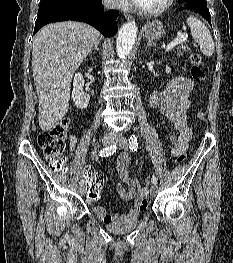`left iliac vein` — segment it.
<instances>
[{"label":"left iliac vein","instance_id":"obj_1","mask_svg":"<svg viewBox=\"0 0 233 263\" xmlns=\"http://www.w3.org/2000/svg\"><path fill=\"white\" fill-rule=\"evenodd\" d=\"M115 143H116L120 148H123V149H126L127 146H128L127 141H126V139H125L124 137H121V138L117 139V140L115 141ZM157 191H158L157 185H156V184H153V185L151 186V189H150V194H151L152 196H154V195H156Z\"/></svg>","mask_w":233,"mask_h":263}]
</instances>
